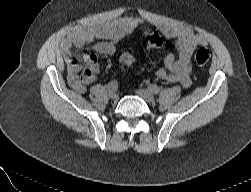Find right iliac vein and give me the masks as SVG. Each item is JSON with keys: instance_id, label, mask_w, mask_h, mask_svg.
Masks as SVG:
<instances>
[{"instance_id": "right-iliac-vein-1", "label": "right iliac vein", "mask_w": 251, "mask_h": 192, "mask_svg": "<svg viewBox=\"0 0 251 192\" xmlns=\"http://www.w3.org/2000/svg\"><path fill=\"white\" fill-rule=\"evenodd\" d=\"M109 97L112 99V100H118V94L115 92V91H110L109 92Z\"/></svg>"}]
</instances>
